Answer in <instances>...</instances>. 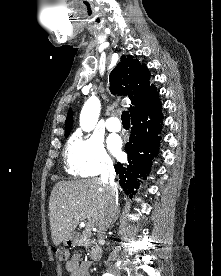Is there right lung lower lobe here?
Masks as SVG:
<instances>
[{"label": "right lung lower lobe", "mask_w": 221, "mask_h": 276, "mask_svg": "<svg viewBox=\"0 0 221 276\" xmlns=\"http://www.w3.org/2000/svg\"><path fill=\"white\" fill-rule=\"evenodd\" d=\"M162 106L158 101L148 109L131 117L133 125L129 142L125 146L128 164L117 163L115 171L123 190L134 195L140 186V178L146 179L151 169V161L159 150V136L162 130Z\"/></svg>", "instance_id": "obj_1"}]
</instances>
